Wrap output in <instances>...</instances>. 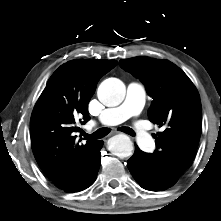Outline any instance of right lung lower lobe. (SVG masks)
<instances>
[{
  "instance_id": "right-lung-lower-lobe-1",
  "label": "right lung lower lobe",
  "mask_w": 221,
  "mask_h": 221,
  "mask_svg": "<svg viewBox=\"0 0 221 221\" xmlns=\"http://www.w3.org/2000/svg\"><path fill=\"white\" fill-rule=\"evenodd\" d=\"M103 146V141H98L95 145L91 157L80 175V177L69 187L64 189L67 192H78L90 187L96 180V176L100 167V150Z\"/></svg>"
}]
</instances>
